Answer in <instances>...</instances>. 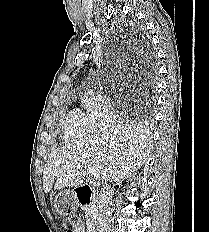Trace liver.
<instances>
[{
    "label": "liver",
    "mask_w": 209,
    "mask_h": 232,
    "mask_svg": "<svg viewBox=\"0 0 209 232\" xmlns=\"http://www.w3.org/2000/svg\"><path fill=\"white\" fill-rule=\"evenodd\" d=\"M151 148V140L143 130L130 124L72 142L49 156L43 171L44 192L52 187H77L88 166L96 169L104 184L120 181L145 163Z\"/></svg>",
    "instance_id": "1"
}]
</instances>
